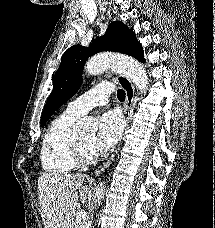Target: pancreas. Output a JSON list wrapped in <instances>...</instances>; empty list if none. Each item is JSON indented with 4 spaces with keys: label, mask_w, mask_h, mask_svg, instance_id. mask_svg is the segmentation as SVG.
<instances>
[{
    "label": "pancreas",
    "mask_w": 215,
    "mask_h": 228,
    "mask_svg": "<svg viewBox=\"0 0 215 228\" xmlns=\"http://www.w3.org/2000/svg\"><path fill=\"white\" fill-rule=\"evenodd\" d=\"M73 220H74V218H73ZM73 224H74V222H73ZM74 228H81V226H76V224H74Z\"/></svg>",
    "instance_id": "1"
}]
</instances>
